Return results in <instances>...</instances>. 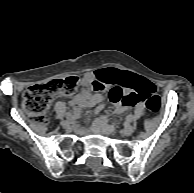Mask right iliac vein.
<instances>
[{"label":"right iliac vein","mask_w":194,"mask_h":193,"mask_svg":"<svg viewBox=\"0 0 194 193\" xmlns=\"http://www.w3.org/2000/svg\"><path fill=\"white\" fill-rule=\"evenodd\" d=\"M61 125H62L64 128H66V129H70V128H71V125H72V120H69V119L63 120V121L61 122Z\"/></svg>","instance_id":"1"}]
</instances>
